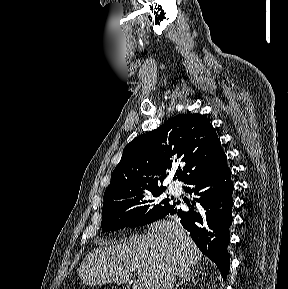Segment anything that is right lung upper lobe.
Wrapping results in <instances>:
<instances>
[{
  "label": "right lung upper lobe",
  "mask_w": 288,
  "mask_h": 289,
  "mask_svg": "<svg viewBox=\"0 0 288 289\" xmlns=\"http://www.w3.org/2000/svg\"><path fill=\"white\" fill-rule=\"evenodd\" d=\"M221 152L217 133L203 115H178L126 145L104 197L163 187L169 170L178 162L186 165L182 169L179 167L174 179L184 182L214 161Z\"/></svg>",
  "instance_id": "right-lung-upper-lobe-1"
}]
</instances>
